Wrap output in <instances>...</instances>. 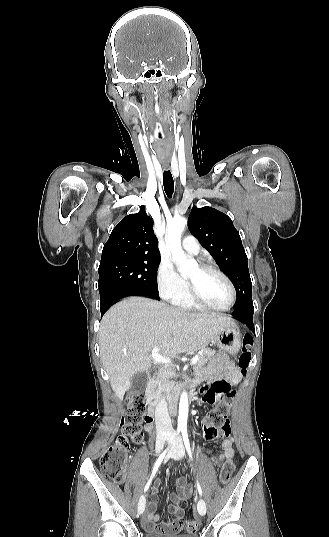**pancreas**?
Wrapping results in <instances>:
<instances>
[{
  "label": "pancreas",
  "mask_w": 329,
  "mask_h": 537,
  "mask_svg": "<svg viewBox=\"0 0 329 537\" xmlns=\"http://www.w3.org/2000/svg\"><path fill=\"white\" fill-rule=\"evenodd\" d=\"M215 354V351L212 349H203L201 353H199V360L195 364V370L202 368L208 361L213 357ZM179 386L175 381H167V383L163 386H160L156 390V393L159 394L161 391H165L168 398H171L174 393L178 390Z\"/></svg>",
  "instance_id": "cf45deb5"
}]
</instances>
